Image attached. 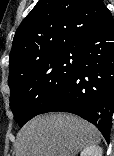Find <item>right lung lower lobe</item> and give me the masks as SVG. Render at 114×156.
Instances as JSON below:
<instances>
[{
	"instance_id": "98d812e1",
	"label": "right lung lower lobe",
	"mask_w": 114,
	"mask_h": 156,
	"mask_svg": "<svg viewBox=\"0 0 114 156\" xmlns=\"http://www.w3.org/2000/svg\"><path fill=\"white\" fill-rule=\"evenodd\" d=\"M80 65L61 94L40 112L74 113L109 141L114 109V19L108 11L78 43Z\"/></svg>"
}]
</instances>
